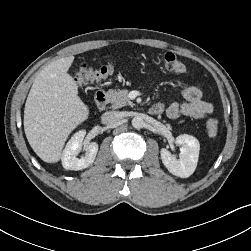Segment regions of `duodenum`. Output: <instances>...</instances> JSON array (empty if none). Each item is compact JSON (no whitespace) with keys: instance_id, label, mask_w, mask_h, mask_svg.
<instances>
[{"instance_id":"410a0bca","label":"duodenum","mask_w":251,"mask_h":251,"mask_svg":"<svg viewBox=\"0 0 251 251\" xmlns=\"http://www.w3.org/2000/svg\"><path fill=\"white\" fill-rule=\"evenodd\" d=\"M95 102L99 109H104L108 103V93L105 89H101L96 92ZM161 112V108L158 105H153L149 108V113L152 115L159 114Z\"/></svg>"}]
</instances>
